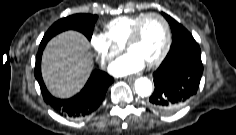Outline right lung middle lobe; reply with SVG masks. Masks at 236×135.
<instances>
[{"label": "right lung middle lobe", "instance_id": "dd1d6c3e", "mask_svg": "<svg viewBox=\"0 0 236 135\" xmlns=\"http://www.w3.org/2000/svg\"><path fill=\"white\" fill-rule=\"evenodd\" d=\"M97 15L75 14L62 18L55 22L45 33L40 45H45L56 34L65 30H77L83 33L89 40L92 37L94 24L97 21Z\"/></svg>", "mask_w": 236, "mask_h": 135}]
</instances>
